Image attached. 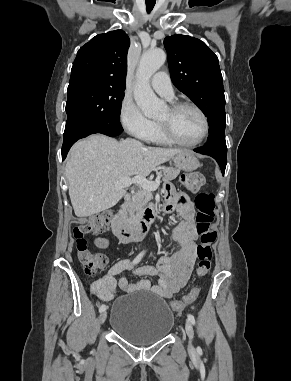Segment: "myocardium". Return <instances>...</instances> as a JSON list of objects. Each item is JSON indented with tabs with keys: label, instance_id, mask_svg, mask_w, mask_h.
Instances as JSON below:
<instances>
[{
	"label": "myocardium",
	"instance_id": "myocardium-1",
	"mask_svg": "<svg viewBox=\"0 0 291 381\" xmlns=\"http://www.w3.org/2000/svg\"><path fill=\"white\" fill-rule=\"evenodd\" d=\"M183 109L194 110L195 112H197L199 114V116L201 117V119L203 121V132L197 140H195L193 142H184V141H182L176 137V135L173 133L170 125H168L164 122H161V121H157V125H158V128H159L161 134L170 143L175 144V145H179V146H183V147H195V146L199 145L200 143H202L205 140V138L208 136L209 128H210L209 120H208L207 115L204 113V111L200 107H198L197 105L190 103V102H177V103L171 104L168 107V110L172 115L176 114L177 112H179Z\"/></svg>",
	"mask_w": 291,
	"mask_h": 381
}]
</instances>
